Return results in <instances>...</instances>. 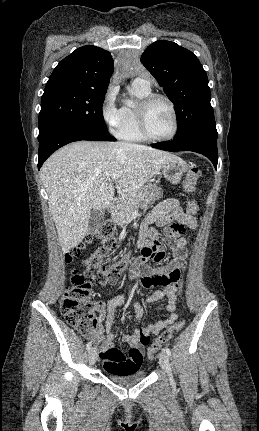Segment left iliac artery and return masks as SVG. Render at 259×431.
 Listing matches in <instances>:
<instances>
[{"label": "left iliac artery", "mask_w": 259, "mask_h": 431, "mask_svg": "<svg viewBox=\"0 0 259 431\" xmlns=\"http://www.w3.org/2000/svg\"><path fill=\"white\" fill-rule=\"evenodd\" d=\"M164 351L168 356H171V350L168 347H165Z\"/></svg>", "instance_id": "left-iliac-artery-1"}]
</instances>
